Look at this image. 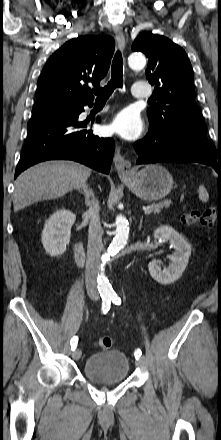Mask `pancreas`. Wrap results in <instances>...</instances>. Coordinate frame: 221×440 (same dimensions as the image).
<instances>
[{
    "instance_id": "1",
    "label": "pancreas",
    "mask_w": 221,
    "mask_h": 440,
    "mask_svg": "<svg viewBox=\"0 0 221 440\" xmlns=\"http://www.w3.org/2000/svg\"><path fill=\"white\" fill-rule=\"evenodd\" d=\"M171 204L170 200H165L163 202H160L158 204H154L153 207L151 208L152 212H154V214H158L160 213L161 209L168 208Z\"/></svg>"
}]
</instances>
